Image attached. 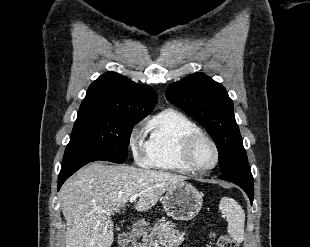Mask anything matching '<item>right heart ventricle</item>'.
<instances>
[{
    "instance_id": "1",
    "label": "right heart ventricle",
    "mask_w": 310,
    "mask_h": 247,
    "mask_svg": "<svg viewBox=\"0 0 310 247\" xmlns=\"http://www.w3.org/2000/svg\"><path fill=\"white\" fill-rule=\"evenodd\" d=\"M146 132V149L151 167L182 173L190 171L182 160L181 149L186 137L201 132L194 121L169 108L148 121Z\"/></svg>"
}]
</instances>
